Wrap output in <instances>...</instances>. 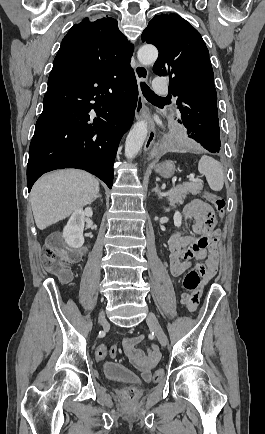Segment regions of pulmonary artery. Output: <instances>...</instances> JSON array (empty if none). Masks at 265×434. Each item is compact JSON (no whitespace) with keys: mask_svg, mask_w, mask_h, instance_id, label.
I'll return each instance as SVG.
<instances>
[{"mask_svg":"<svg viewBox=\"0 0 265 434\" xmlns=\"http://www.w3.org/2000/svg\"><path fill=\"white\" fill-rule=\"evenodd\" d=\"M151 80L153 84H163L165 79L163 75H153Z\"/></svg>","mask_w":265,"mask_h":434,"instance_id":"1","label":"pulmonary artery"}]
</instances>
